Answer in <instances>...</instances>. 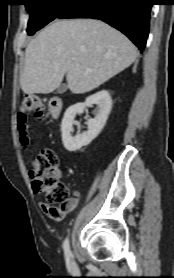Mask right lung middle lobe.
<instances>
[{
    "mask_svg": "<svg viewBox=\"0 0 174 278\" xmlns=\"http://www.w3.org/2000/svg\"><path fill=\"white\" fill-rule=\"evenodd\" d=\"M78 0H25L30 14L27 33L33 35L50 21L58 18L69 6Z\"/></svg>",
    "mask_w": 174,
    "mask_h": 278,
    "instance_id": "dd1d6c3e",
    "label": "right lung middle lobe"
}]
</instances>
